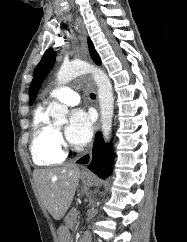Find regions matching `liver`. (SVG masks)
I'll use <instances>...</instances> for the list:
<instances>
[{
    "label": "liver",
    "mask_w": 187,
    "mask_h": 242,
    "mask_svg": "<svg viewBox=\"0 0 187 242\" xmlns=\"http://www.w3.org/2000/svg\"><path fill=\"white\" fill-rule=\"evenodd\" d=\"M34 179L44 206L55 220H60L74 198L80 179L79 167L69 164L62 168L37 169Z\"/></svg>",
    "instance_id": "1"
}]
</instances>
